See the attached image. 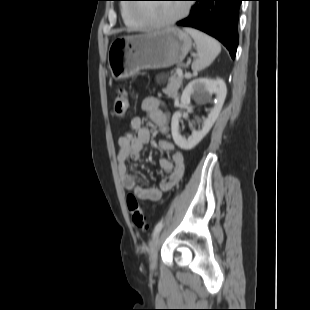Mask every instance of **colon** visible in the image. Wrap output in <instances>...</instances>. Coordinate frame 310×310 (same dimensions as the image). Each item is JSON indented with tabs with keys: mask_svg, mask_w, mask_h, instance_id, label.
<instances>
[{
	"mask_svg": "<svg viewBox=\"0 0 310 310\" xmlns=\"http://www.w3.org/2000/svg\"><path fill=\"white\" fill-rule=\"evenodd\" d=\"M129 109V97L124 89H118L113 101L112 112L117 117H124ZM127 207L133 224L141 230L148 228L145 220L144 212L141 209L137 197L130 193L127 195Z\"/></svg>",
	"mask_w": 310,
	"mask_h": 310,
	"instance_id": "colon-1",
	"label": "colon"
}]
</instances>
